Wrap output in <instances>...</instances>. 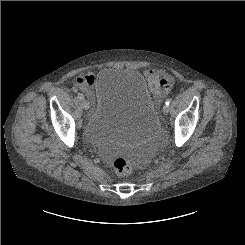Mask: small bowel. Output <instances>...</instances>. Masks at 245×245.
<instances>
[{
	"label": "small bowel",
	"instance_id": "obj_1",
	"mask_svg": "<svg viewBox=\"0 0 245 245\" xmlns=\"http://www.w3.org/2000/svg\"><path fill=\"white\" fill-rule=\"evenodd\" d=\"M144 76L151 92L159 99L168 93L174 83L172 77L151 69L146 70ZM90 80H93L92 74L80 75L76 79L77 86L88 96H92V82Z\"/></svg>",
	"mask_w": 245,
	"mask_h": 245
}]
</instances>
